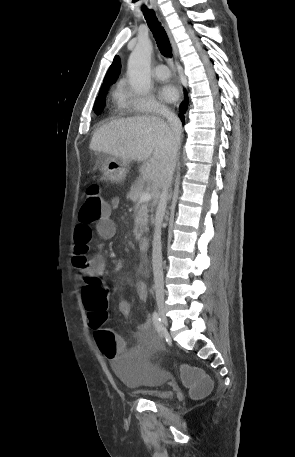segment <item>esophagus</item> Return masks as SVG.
Returning a JSON list of instances; mask_svg holds the SVG:
<instances>
[{
    "label": "esophagus",
    "instance_id": "1",
    "mask_svg": "<svg viewBox=\"0 0 295 457\" xmlns=\"http://www.w3.org/2000/svg\"><path fill=\"white\" fill-rule=\"evenodd\" d=\"M165 25V24H164ZM165 28H166V31L169 35V38H170V41H171V44H172V47H173V52H174V57H175V60H177L178 58V50H177V47H176V44L172 38V35L170 33V30L168 29V27L165 25Z\"/></svg>",
    "mask_w": 295,
    "mask_h": 457
}]
</instances>
